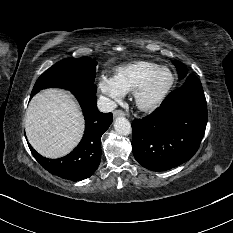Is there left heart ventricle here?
<instances>
[{
	"label": "left heart ventricle",
	"mask_w": 233,
	"mask_h": 233,
	"mask_svg": "<svg viewBox=\"0 0 233 233\" xmlns=\"http://www.w3.org/2000/svg\"><path fill=\"white\" fill-rule=\"evenodd\" d=\"M169 81V73L166 71H163L161 73H159L155 79L153 80V82L151 83L146 97L148 99H151L153 97H155L164 87L165 85L168 83Z\"/></svg>",
	"instance_id": "1"
}]
</instances>
